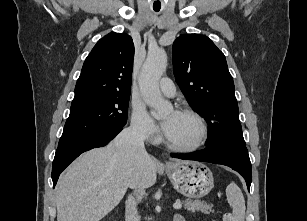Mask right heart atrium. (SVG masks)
<instances>
[{
	"label": "right heart atrium",
	"instance_id": "d8ad5b80",
	"mask_svg": "<svg viewBox=\"0 0 307 221\" xmlns=\"http://www.w3.org/2000/svg\"><path fill=\"white\" fill-rule=\"evenodd\" d=\"M132 130L143 140L156 141L159 138V129L149 116L144 105L134 101L131 113Z\"/></svg>",
	"mask_w": 307,
	"mask_h": 221
}]
</instances>
